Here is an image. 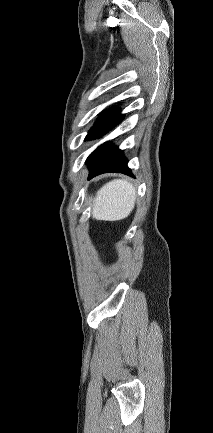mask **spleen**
Wrapping results in <instances>:
<instances>
[{"label":"spleen","instance_id":"3e777b00","mask_svg":"<svg viewBox=\"0 0 213 433\" xmlns=\"http://www.w3.org/2000/svg\"><path fill=\"white\" fill-rule=\"evenodd\" d=\"M136 189L127 180L105 184L93 200L92 216L96 220L117 221L128 217L135 205Z\"/></svg>","mask_w":213,"mask_h":433}]
</instances>
